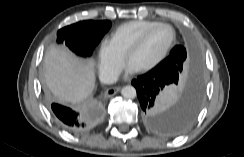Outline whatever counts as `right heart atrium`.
<instances>
[{"instance_id": "d8ad5b80", "label": "right heart atrium", "mask_w": 244, "mask_h": 157, "mask_svg": "<svg viewBox=\"0 0 244 157\" xmlns=\"http://www.w3.org/2000/svg\"><path fill=\"white\" fill-rule=\"evenodd\" d=\"M123 65V56L117 52L109 40L100 44L98 51V72L105 82L112 81Z\"/></svg>"}]
</instances>
